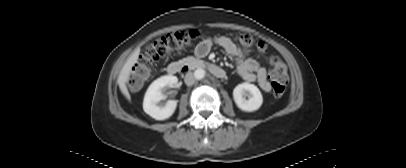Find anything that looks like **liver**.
Instances as JSON below:
<instances>
[{"instance_id": "1", "label": "liver", "mask_w": 406, "mask_h": 168, "mask_svg": "<svg viewBox=\"0 0 406 168\" xmlns=\"http://www.w3.org/2000/svg\"><path fill=\"white\" fill-rule=\"evenodd\" d=\"M138 56H139V51H135L130 55V57L124 64L123 68L121 69L120 74L117 79V83L119 85L120 91L128 100H130V94H129V91L126 86V82L129 79L132 67L138 60Z\"/></svg>"}]
</instances>
